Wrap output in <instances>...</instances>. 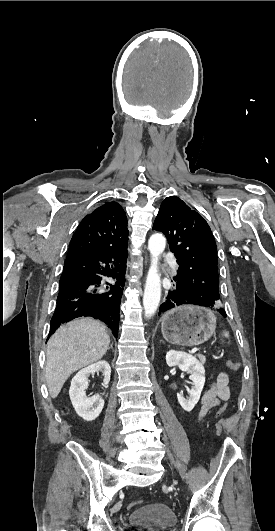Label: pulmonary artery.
<instances>
[{
  "instance_id": "pulmonary-artery-1",
  "label": "pulmonary artery",
  "mask_w": 275,
  "mask_h": 531,
  "mask_svg": "<svg viewBox=\"0 0 275 531\" xmlns=\"http://www.w3.org/2000/svg\"><path fill=\"white\" fill-rule=\"evenodd\" d=\"M165 256H167L166 261H167V263H168V266H169V268H170V271H171L172 273H175V272L177 271V269L179 268V266H180L179 261L176 260V259L174 258V256L170 255V253H165Z\"/></svg>"
}]
</instances>
